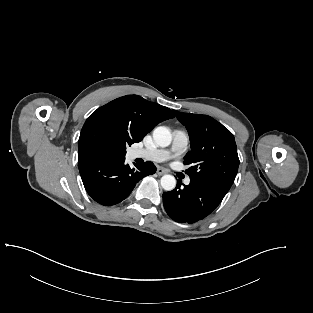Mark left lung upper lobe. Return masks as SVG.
I'll return each mask as SVG.
<instances>
[{
  "instance_id": "obj_1",
  "label": "left lung upper lobe",
  "mask_w": 313,
  "mask_h": 313,
  "mask_svg": "<svg viewBox=\"0 0 313 313\" xmlns=\"http://www.w3.org/2000/svg\"><path fill=\"white\" fill-rule=\"evenodd\" d=\"M186 126L191 151L184 157L190 179L217 184L229 190L236 177L239 158L233 134L210 116L174 111Z\"/></svg>"
}]
</instances>
